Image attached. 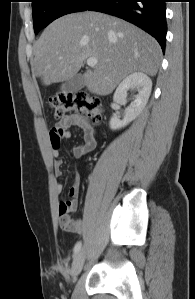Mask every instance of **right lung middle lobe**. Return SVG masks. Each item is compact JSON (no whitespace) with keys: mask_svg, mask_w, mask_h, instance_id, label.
I'll return each mask as SVG.
<instances>
[{"mask_svg":"<svg viewBox=\"0 0 195 299\" xmlns=\"http://www.w3.org/2000/svg\"><path fill=\"white\" fill-rule=\"evenodd\" d=\"M93 0H32L34 31L37 34L53 20L84 11Z\"/></svg>","mask_w":195,"mask_h":299,"instance_id":"right-lung-middle-lobe-1","label":"right lung middle lobe"}]
</instances>
